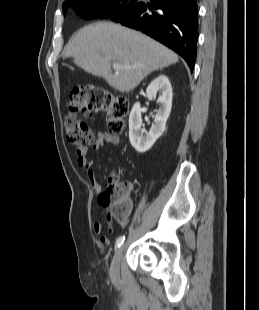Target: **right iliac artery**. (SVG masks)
Listing matches in <instances>:
<instances>
[{"instance_id":"82829eb1","label":"right iliac artery","mask_w":259,"mask_h":310,"mask_svg":"<svg viewBox=\"0 0 259 310\" xmlns=\"http://www.w3.org/2000/svg\"><path fill=\"white\" fill-rule=\"evenodd\" d=\"M124 240H125V236H120V237L117 239L115 246H116V247H120V246L123 244Z\"/></svg>"}]
</instances>
